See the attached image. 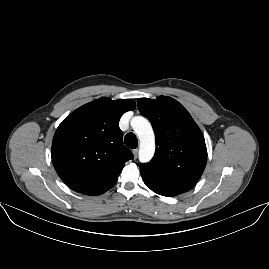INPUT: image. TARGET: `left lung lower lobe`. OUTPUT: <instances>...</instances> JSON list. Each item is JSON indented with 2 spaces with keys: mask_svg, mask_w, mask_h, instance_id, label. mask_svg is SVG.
Wrapping results in <instances>:
<instances>
[{
  "mask_svg": "<svg viewBox=\"0 0 269 269\" xmlns=\"http://www.w3.org/2000/svg\"><path fill=\"white\" fill-rule=\"evenodd\" d=\"M141 176L144 183L151 190H153L157 194L167 196V197H173L181 193L187 192L194 186L189 183L162 180L159 178L149 176L144 173H141Z\"/></svg>",
  "mask_w": 269,
  "mask_h": 269,
  "instance_id": "0a47b994",
  "label": "left lung lower lobe"
}]
</instances>
